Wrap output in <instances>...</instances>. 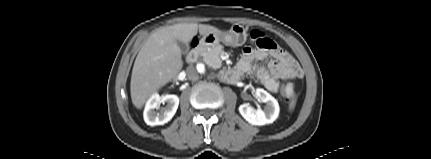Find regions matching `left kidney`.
<instances>
[{
    "label": "left kidney",
    "mask_w": 431,
    "mask_h": 159,
    "mask_svg": "<svg viewBox=\"0 0 431 159\" xmlns=\"http://www.w3.org/2000/svg\"><path fill=\"white\" fill-rule=\"evenodd\" d=\"M258 101L266 103L264 110L254 109L248 103L239 106V112L242 117L252 125H265L272 123L279 115V104L277 100L272 97L264 89L258 88L255 93Z\"/></svg>",
    "instance_id": "5707ae66"
}]
</instances>
